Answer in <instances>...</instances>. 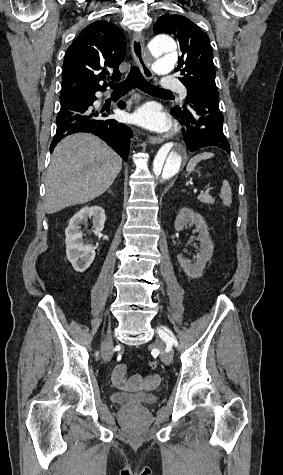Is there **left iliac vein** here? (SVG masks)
<instances>
[{
    "label": "left iliac vein",
    "instance_id": "1",
    "mask_svg": "<svg viewBox=\"0 0 283 475\" xmlns=\"http://www.w3.org/2000/svg\"><path fill=\"white\" fill-rule=\"evenodd\" d=\"M157 332L159 335L167 341V343L174 344L173 338L163 329L162 327L158 326L157 327ZM155 346L160 350L161 352V360L164 363H171L172 358H173V353L170 351H167L165 349V345L162 343L161 340L157 339L155 341Z\"/></svg>",
    "mask_w": 283,
    "mask_h": 475
}]
</instances>
